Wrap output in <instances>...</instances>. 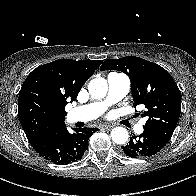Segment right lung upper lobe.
I'll return each instance as SVG.
<instances>
[{"mask_svg": "<svg viewBox=\"0 0 196 196\" xmlns=\"http://www.w3.org/2000/svg\"><path fill=\"white\" fill-rule=\"evenodd\" d=\"M101 60L59 59L34 69L19 92L18 116L31 145L65 125L73 101Z\"/></svg>", "mask_w": 196, "mask_h": 196, "instance_id": "cb5924a9", "label": "right lung upper lobe"}]
</instances>
